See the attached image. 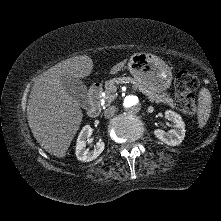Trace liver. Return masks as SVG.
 I'll return each instance as SVG.
<instances>
[{
	"instance_id": "1",
	"label": "liver",
	"mask_w": 221,
	"mask_h": 221,
	"mask_svg": "<svg viewBox=\"0 0 221 221\" xmlns=\"http://www.w3.org/2000/svg\"><path fill=\"white\" fill-rule=\"evenodd\" d=\"M126 62L114 65L110 74H117ZM93 66L87 55L72 57L45 71L33 84L27 103L29 127L40 146L58 158L66 156L83 118L79 104L65 91L61 79L65 75L85 78Z\"/></svg>"
}]
</instances>
